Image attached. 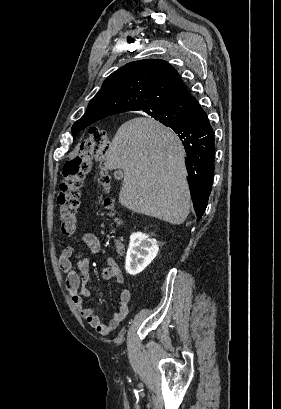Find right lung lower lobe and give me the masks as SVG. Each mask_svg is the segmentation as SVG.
Returning <instances> with one entry per match:
<instances>
[{
    "label": "right lung lower lobe",
    "mask_w": 281,
    "mask_h": 409,
    "mask_svg": "<svg viewBox=\"0 0 281 409\" xmlns=\"http://www.w3.org/2000/svg\"><path fill=\"white\" fill-rule=\"evenodd\" d=\"M153 118L174 117L172 128L186 150L190 193L199 220L208 204L214 174V132L208 117L194 97L146 112Z\"/></svg>",
    "instance_id": "98d812e1"
}]
</instances>
